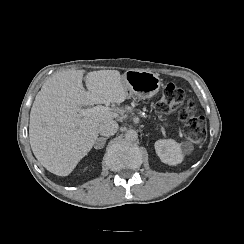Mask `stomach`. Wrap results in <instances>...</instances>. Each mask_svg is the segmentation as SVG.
<instances>
[{
	"instance_id": "obj_1",
	"label": "stomach",
	"mask_w": 244,
	"mask_h": 244,
	"mask_svg": "<svg viewBox=\"0 0 244 244\" xmlns=\"http://www.w3.org/2000/svg\"><path fill=\"white\" fill-rule=\"evenodd\" d=\"M122 82L129 97L137 96L145 99L158 93L161 86V79L158 74L130 69L122 75Z\"/></svg>"
}]
</instances>
